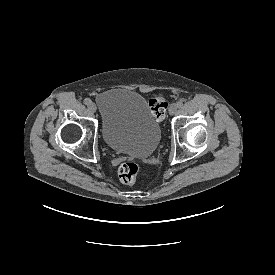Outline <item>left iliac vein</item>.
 I'll return each mask as SVG.
<instances>
[{
  "instance_id": "4c4485c4",
  "label": "left iliac vein",
  "mask_w": 275,
  "mask_h": 275,
  "mask_svg": "<svg viewBox=\"0 0 275 275\" xmlns=\"http://www.w3.org/2000/svg\"><path fill=\"white\" fill-rule=\"evenodd\" d=\"M177 105L175 103H172L169 107V114L174 115L177 111Z\"/></svg>"
}]
</instances>
